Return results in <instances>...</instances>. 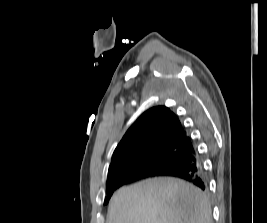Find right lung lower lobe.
Here are the masks:
<instances>
[{"mask_svg":"<svg viewBox=\"0 0 267 223\" xmlns=\"http://www.w3.org/2000/svg\"><path fill=\"white\" fill-rule=\"evenodd\" d=\"M154 176L177 177L193 183L202 190L206 187L202 163L197 150L192 144V146L185 151L183 156L176 160L175 163L165 172L152 173L151 171L132 170L118 174L107 180L106 191L113 194L117 188L124 184Z\"/></svg>","mask_w":267,"mask_h":223,"instance_id":"98d812e1","label":"right lung lower lobe"}]
</instances>
